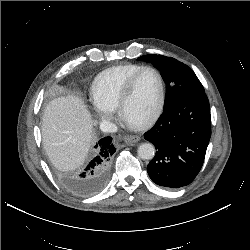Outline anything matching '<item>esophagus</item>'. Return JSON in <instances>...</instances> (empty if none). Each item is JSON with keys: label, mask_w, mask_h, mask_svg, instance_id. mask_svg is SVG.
<instances>
[{"label": "esophagus", "mask_w": 250, "mask_h": 250, "mask_svg": "<svg viewBox=\"0 0 250 250\" xmlns=\"http://www.w3.org/2000/svg\"><path fill=\"white\" fill-rule=\"evenodd\" d=\"M141 138L139 136H134V135H130V136H126L124 138L125 142L128 143L129 145H133L136 142H138Z\"/></svg>", "instance_id": "esophagus-1"}]
</instances>
